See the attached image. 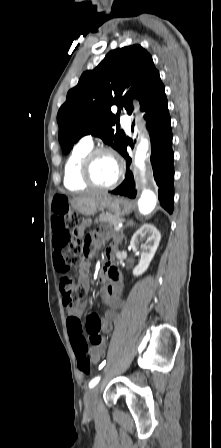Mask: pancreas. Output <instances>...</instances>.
Masks as SVG:
<instances>
[{"label":"pancreas","instance_id":"cf45deb5","mask_svg":"<svg viewBox=\"0 0 221 448\" xmlns=\"http://www.w3.org/2000/svg\"><path fill=\"white\" fill-rule=\"evenodd\" d=\"M98 221L108 223L110 226L115 227L117 224L122 223L124 219L111 214H101ZM98 221L96 220V222Z\"/></svg>","mask_w":221,"mask_h":448}]
</instances>
